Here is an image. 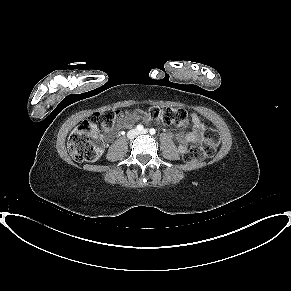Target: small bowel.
Segmentation results:
<instances>
[{
  "instance_id": "1",
  "label": "small bowel",
  "mask_w": 291,
  "mask_h": 291,
  "mask_svg": "<svg viewBox=\"0 0 291 291\" xmlns=\"http://www.w3.org/2000/svg\"><path fill=\"white\" fill-rule=\"evenodd\" d=\"M134 116L130 113H126L119 119L117 125L118 128L129 127L134 122ZM192 129L188 133H179L177 136L179 142V149L184 151L188 144L198 143L202 140L205 134V125L196 113L191 114ZM114 136L113 131L108 130L106 138L112 139Z\"/></svg>"
}]
</instances>
